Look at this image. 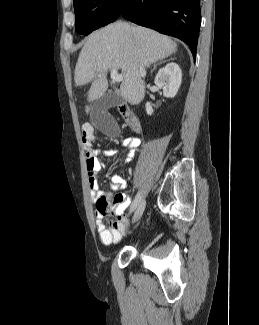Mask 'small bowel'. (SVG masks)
<instances>
[{"label": "small bowel", "mask_w": 259, "mask_h": 325, "mask_svg": "<svg viewBox=\"0 0 259 325\" xmlns=\"http://www.w3.org/2000/svg\"><path fill=\"white\" fill-rule=\"evenodd\" d=\"M123 147L127 149L125 162L129 163L135 156L140 145V140L136 137H128L123 140ZM116 154L114 149L96 150L90 148L86 152V168L88 175V186L91 200L96 205L95 227L103 245H111L120 241L127 224L128 216L125 214L129 206V198L124 193L119 192L126 187L125 179L114 173L111 176V191L105 192L99 188L97 175L102 169L101 157H112ZM114 211L116 218L109 222L107 228L103 219Z\"/></svg>", "instance_id": "obj_1"}]
</instances>
